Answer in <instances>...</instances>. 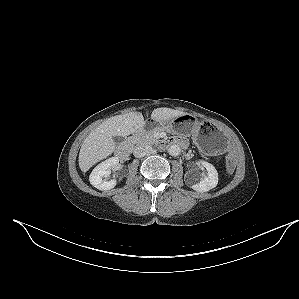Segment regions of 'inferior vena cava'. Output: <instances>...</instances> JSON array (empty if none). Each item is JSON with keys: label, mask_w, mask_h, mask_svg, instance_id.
I'll return each mask as SVG.
<instances>
[{"label": "inferior vena cava", "mask_w": 299, "mask_h": 299, "mask_svg": "<svg viewBox=\"0 0 299 299\" xmlns=\"http://www.w3.org/2000/svg\"><path fill=\"white\" fill-rule=\"evenodd\" d=\"M153 152V148L150 145L143 144L139 145L134 149V156L137 158L143 157L149 153Z\"/></svg>", "instance_id": "1"}]
</instances>
